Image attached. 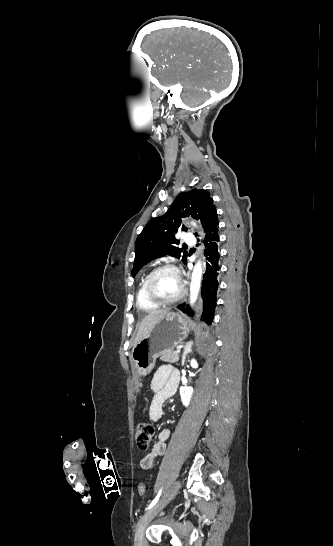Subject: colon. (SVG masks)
Masks as SVG:
<instances>
[{
	"instance_id": "colon-1",
	"label": "colon",
	"mask_w": 333,
	"mask_h": 546,
	"mask_svg": "<svg viewBox=\"0 0 333 546\" xmlns=\"http://www.w3.org/2000/svg\"><path fill=\"white\" fill-rule=\"evenodd\" d=\"M154 435V427L151 423L143 422L137 425L135 439L139 450L145 451L148 449ZM146 487L143 483L138 485L139 495H144Z\"/></svg>"
}]
</instances>
